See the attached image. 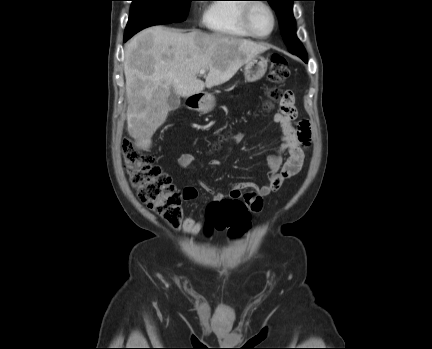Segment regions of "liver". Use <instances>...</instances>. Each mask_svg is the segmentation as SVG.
I'll use <instances>...</instances> for the list:
<instances>
[{
    "instance_id": "1",
    "label": "liver",
    "mask_w": 432,
    "mask_h": 349,
    "mask_svg": "<svg viewBox=\"0 0 432 349\" xmlns=\"http://www.w3.org/2000/svg\"><path fill=\"white\" fill-rule=\"evenodd\" d=\"M268 49L263 43L199 30L153 26L139 32L125 46L129 134L148 149L167 118L171 92L190 97L221 85ZM202 69L208 71L205 82L198 78Z\"/></svg>"
}]
</instances>
